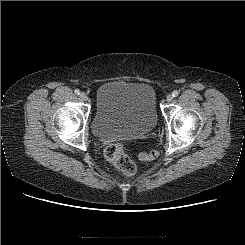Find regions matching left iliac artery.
Instances as JSON below:
<instances>
[{"instance_id":"obj_1","label":"left iliac artery","mask_w":245,"mask_h":245,"mask_svg":"<svg viewBox=\"0 0 245 245\" xmlns=\"http://www.w3.org/2000/svg\"><path fill=\"white\" fill-rule=\"evenodd\" d=\"M179 95V91L175 90L172 92L173 97H177Z\"/></svg>"}]
</instances>
